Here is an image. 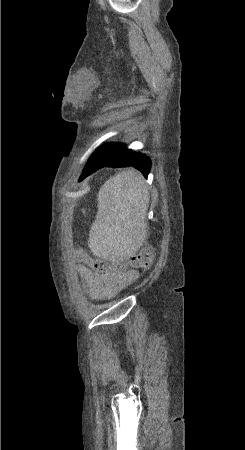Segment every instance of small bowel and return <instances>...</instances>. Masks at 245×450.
Instances as JSON below:
<instances>
[{
    "label": "small bowel",
    "instance_id": "obj_1",
    "mask_svg": "<svg viewBox=\"0 0 245 450\" xmlns=\"http://www.w3.org/2000/svg\"><path fill=\"white\" fill-rule=\"evenodd\" d=\"M75 269L83 279L90 296L96 299L114 296L131 285L139 276L137 270L117 271L112 266L105 273L96 274L78 257Z\"/></svg>",
    "mask_w": 245,
    "mask_h": 450
}]
</instances>
